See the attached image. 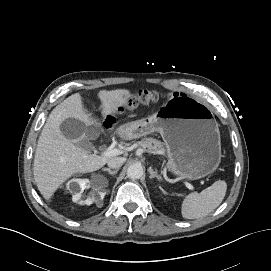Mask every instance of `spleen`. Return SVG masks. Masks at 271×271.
Wrapping results in <instances>:
<instances>
[{"label": "spleen", "mask_w": 271, "mask_h": 271, "mask_svg": "<svg viewBox=\"0 0 271 271\" xmlns=\"http://www.w3.org/2000/svg\"><path fill=\"white\" fill-rule=\"evenodd\" d=\"M227 184L218 180L200 193L188 194L181 205V214L185 219H198L214 211L223 201Z\"/></svg>", "instance_id": "3e777b00"}]
</instances>
